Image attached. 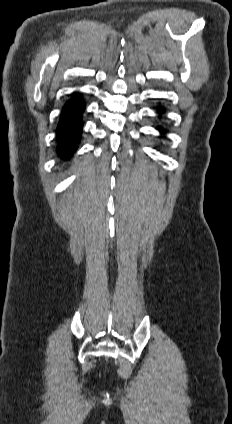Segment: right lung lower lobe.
I'll use <instances>...</instances> for the list:
<instances>
[{"label":"right lung lower lobe","instance_id":"right-lung-lower-lobe-1","mask_svg":"<svg viewBox=\"0 0 232 424\" xmlns=\"http://www.w3.org/2000/svg\"><path fill=\"white\" fill-rule=\"evenodd\" d=\"M84 107L85 103L78 94H75L64 106L57 127V151L61 157L69 158L78 147Z\"/></svg>","mask_w":232,"mask_h":424}]
</instances>
